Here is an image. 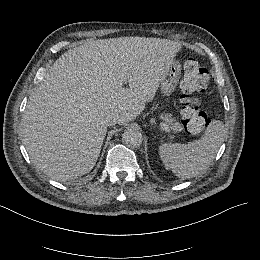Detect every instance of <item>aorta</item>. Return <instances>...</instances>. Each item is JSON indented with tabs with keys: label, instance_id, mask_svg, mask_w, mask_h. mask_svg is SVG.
<instances>
[{
	"label": "aorta",
	"instance_id": "obj_1",
	"mask_svg": "<svg viewBox=\"0 0 260 260\" xmlns=\"http://www.w3.org/2000/svg\"><path fill=\"white\" fill-rule=\"evenodd\" d=\"M122 140L124 144L135 148L142 144L143 137L138 130L129 128L122 134Z\"/></svg>",
	"mask_w": 260,
	"mask_h": 260
}]
</instances>
